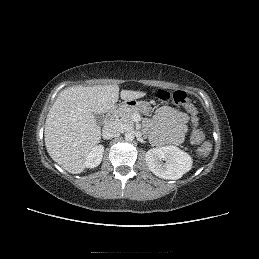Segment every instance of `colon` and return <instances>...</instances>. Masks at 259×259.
<instances>
[{
    "mask_svg": "<svg viewBox=\"0 0 259 259\" xmlns=\"http://www.w3.org/2000/svg\"><path fill=\"white\" fill-rule=\"evenodd\" d=\"M153 96L160 101H172L173 103L182 106L189 114V121L191 124V135L189 142L192 145L199 146L198 154L202 157L207 156L212 149V145L209 141H204V135L200 130V116L197 114V110L191 103L186 93L183 91H176L170 93L165 90H157L153 92ZM203 142V143H202Z\"/></svg>",
    "mask_w": 259,
    "mask_h": 259,
    "instance_id": "1",
    "label": "colon"
}]
</instances>
